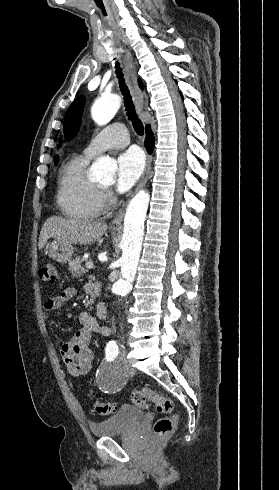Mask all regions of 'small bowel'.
Returning <instances> with one entry per match:
<instances>
[{"label":"small bowel","instance_id":"obj_1","mask_svg":"<svg viewBox=\"0 0 279 490\" xmlns=\"http://www.w3.org/2000/svg\"><path fill=\"white\" fill-rule=\"evenodd\" d=\"M86 291L88 294L93 295L98 292V287L93 284L88 285ZM75 296L76 290L74 288H67L59 295L48 299L44 304V308L47 312L57 310ZM97 316L103 321H106L108 318V311L103 302L98 305ZM77 320L80 329L74 334L70 341L62 343L60 354L68 373L75 377H81L88 373L92 367L93 353L90 348L92 335L94 333H99L103 336H109L112 330L106 325H100L96 319L86 311L79 312Z\"/></svg>","mask_w":279,"mask_h":490}]
</instances>
